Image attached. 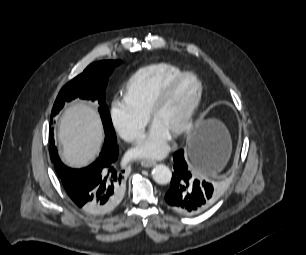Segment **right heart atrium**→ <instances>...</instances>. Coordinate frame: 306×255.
I'll return each instance as SVG.
<instances>
[{
  "label": "right heart atrium",
  "instance_id": "right-heart-atrium-1",
  "mask_svg": "<svg viewBox=\"0 0 306 255\" xmlns=\"http://www.w3.org/2000/svg\"><path fill=\"white\" fill-rule=\"evenodd\" d=\"M110 121L117 134L134 143L141 139L147 117L135 110L125 99H114L109 110Z\"/></svg>",
  "mask_w": 306,
  "mask_h": 255
}]
</instances>
